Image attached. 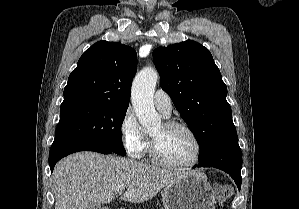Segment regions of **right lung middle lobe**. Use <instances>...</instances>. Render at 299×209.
<instances>
[{
	"label": "right lung middle lobe",
	"mask_w": 299,
	"mask_h": 209,
	"mask_svg": "<svg viewBox=\"0 0 299 209\" xmlns=\"http://www.w3.org/2000/svg\"><path fill=\"white\" fill-rule=\"evenodd\" d=\"M127 108L99 103L61 105L56 138L101 144L125 155L121 126Z\"/></svg>",
	"instance_id": "right-lung-middle-lobe-1"
}]
</instances>
